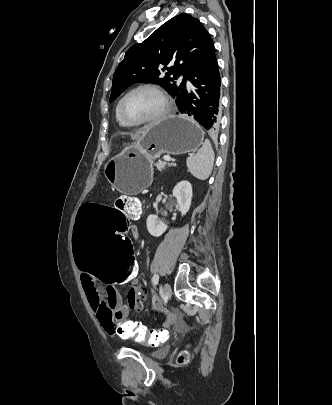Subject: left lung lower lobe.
<instances>
[{"mask_svg":"<svg viewBox=\"0 0 332 405\" xmlns=\"http://www.w3.org/2000/svg\"><path fill=\"white\" fill-rule=\"evenodd\" d=\"M188 80L192 91L177 98L180 113L188 114L207 130L215 133L219 129L221 78L214 44L200 63L192 70Z\"/></svg>","mask_w":332,"mask_h":405,"instance_id":"1","label":"left lung lower lobe"}]
</instances>
